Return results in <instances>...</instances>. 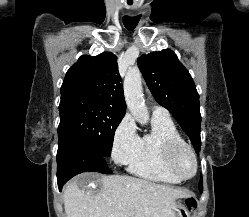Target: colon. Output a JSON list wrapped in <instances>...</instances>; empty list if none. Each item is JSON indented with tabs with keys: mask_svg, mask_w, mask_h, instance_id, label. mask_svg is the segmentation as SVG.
<instances>
[{
	"mask_svg": "<svg viewBox=\"0 0 249 217\" xmlns=\"http://www.w3.org/2000/svg\"><path fill=\"white\" fill-rule=\"evenodd\" d=\"M186 207L190 210H194L197 207V201L195 198H187L185 200Z\"/></svg>",
	"mask_w": 249,
	"mask_h": 217,
	"instance_id": "5ec220e1",
	"label": "colon"
}]
</instances>
